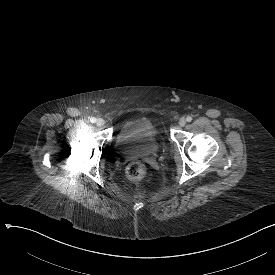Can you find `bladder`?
<instances>
[{
	"mask_svg": "<svg viewBox=\"0 0 275 275\" xmlns=\"http://www.w3.org/2000/svg\"><path fill=\"white\" fill-rule=\"evenodd\" d=\"M117 145L123 152L143 158L154 157L160 152V139L155 123L148 116L125 121L116 132Z\"/></svg>",
	"mask_w": 275,
	"mask_h": 275,
	"instance_id": "31cf9c89",
	"label": "bladder"
}]
</instances>
